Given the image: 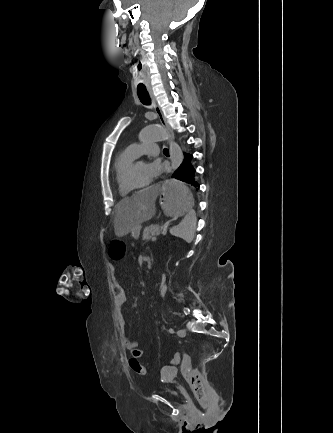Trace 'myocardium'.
Wrapping results in <instances>:
<instances>
[{
    "instance_id": "1",
    "label": "myocardium",
    "mask_w": 333,
    "mask_h": 433,
    "mask_svg": "<svg viewBox=\"0 0 333 433\" xmlns=\"http://www.w3.org/2000/svg\"><path fill=\"white\" fill-rule=\"evenodd\" d=\"M135 164H136L135 160L133 162H131L128 165V167L126 168V170L123 174V177H122V182H123L124 186L129 190H141V189H144L150 185L149 182L141 184V185H135L132 182V176H133Z\"/></svg>"
}]
</instances>
